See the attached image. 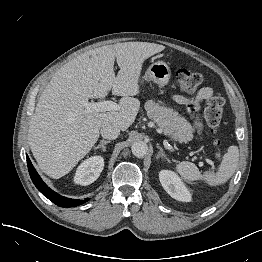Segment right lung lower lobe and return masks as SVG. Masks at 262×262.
<instances>
[{
	"mask_svg": "<svg viewBox=\"0 0 262 262\" xmlns=\"http://www.w3.org/2000/svg\"><path fill=\"white\" fill-rule=\"evenodd\" d=\"M27 165L29 169L30 177L37 187V189L49 200H51L53 203H55L58 206L61 207H73L81 205L89 200V198H86L84 200H78V199H69L63 196H60L56 192L52 191L40 178L38 173L36 172L35 168L31 164V161L29 157L27 156Z\"/></svg>",
	"mask_w": 262,
	"mask_h": 262,
	"instance_id": "obj_1",
	"label": "right lung lower lobe"
}]
</instances>
